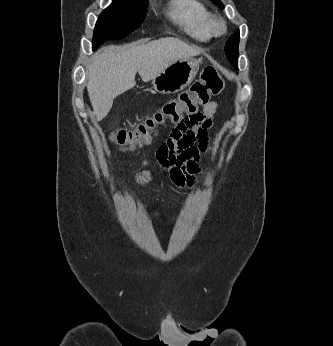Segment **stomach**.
I'll use <instances>...</instances> for the list:
<instances>
[{
  "mask_svg": "<svg viewBox=\"0 0 333 346\" xmlns=\"http://www.w3.org/2000/svg\"><path fill=\"white\" fill-rule=\"evenodd\" d=\"M201 59H180L152 79L153 88L161 94H172L185 89L195 79Z\"/></svg>",
  "mask_w": 333,
  "mask_h": 346,
  "instance_id": "stomach-1",
  "label": "stomach"
}]
</instances>
